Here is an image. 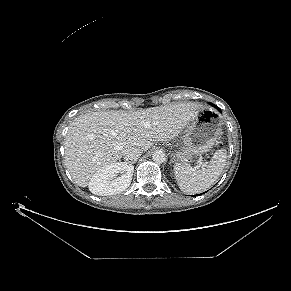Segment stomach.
Instances as JSON below:
<instances>
[{
	"label": "stomach",
	"mask_w": 291,
	"mask_h": 291,
	"mask_svg": "<svg viewBox=\"0 0 291 291\" xmlns=\"http://www.w3.org/2000/svg\"><path fill=\"white\" fill-rule=\"evenodd\" d=\"M222 134V121L217 111L206 108L189 122L181 136L182 146L175 158L186 163L211 150Z\"/></svg>",
	"instance_id": "stomach-1"
}]
</instances>
